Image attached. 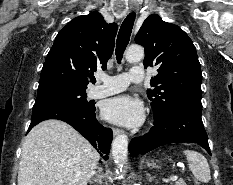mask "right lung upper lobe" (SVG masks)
<instances>
[{
    "instance_id": "1",
    "label": "right lung upper lobe",
    "mask_w": 233,
    "mask_h": 185,
    "mask_svg": "<svg viewBox=\"0 0 233 185\" xmlns=\"http://www.w3.org/2000/svg\"><path fill=\"white\" fill-rule=\"evenodd\" d=\"M117 24H108L99 12L78 16L56 36L41 71L38 90L86 89L95 82L93 71L106 68L111 57Z\"/></svg>"
}]
</instances>
